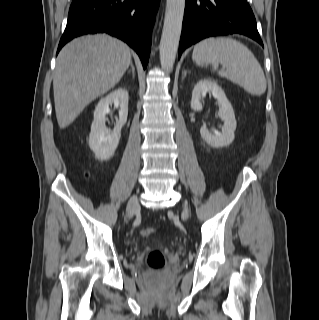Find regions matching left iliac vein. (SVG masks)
<instances>
[{"instance_id": "obj_1", "label": "left iliac vein", "mask_w": 319, "mask_h": 320, "mask_svg": "<svg viewBox=\"0 0 319 320\" xmlns=\"http://www.w3.org/2000/svg\"><path fill=\"white\" fill-rule=\"evenodd\" d=\"M183 217H184L185 219H187V218L189 217V212H188V208H187V205H186V204L184 205Z\"/></svg>"}]
</instances>
